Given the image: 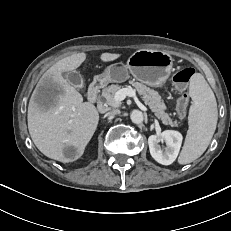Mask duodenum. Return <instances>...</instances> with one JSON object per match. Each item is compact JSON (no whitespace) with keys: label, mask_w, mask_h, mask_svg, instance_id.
Here are the masks:
<instances>
[{"label":"duodenum","mask_w":231,"mask_h":231,"mask_svg":"<svg viewBox=\"0 0 231 231\" xmlns=\"http://www.w3.org/2000/svg\"><path fill=\"white\" fill-rule=\"evenodd\" d=\"M105 82L102 78H96L92 81V83L89 86L87 99L90 103L94 104L96 103L98 99V94L101 91V89L104 87Z\"/></svg>","instance_id":"1"}]
</instances>
